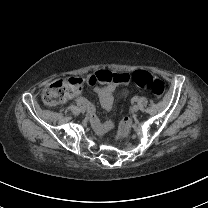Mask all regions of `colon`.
I'll use <instances>...</instances> for the list:
<instances>
[{
	"label": "colon",
	"mask_w": 208,
	"mask_h": 208,
	"mask_svg": "<svg viewBox=\"0 0 208 208\" xmlns=\"http://www.w3.org/2000/svg\"><path fill=\"white\" fill-rule=\"evenodd\" d=\"M135 85L143 90H147L153 97H162L166 91L163 81L153 74L145 71H135L132 75ZM127 79L119 78L111 71L102 70L91 75L88 79L82 80L77 77L59 79L55 83L47 84L42 90V99L49 106H58L62 102L70 101L75 93L83 91L84 86H94L102 83L121 84ZM119 127L123 131H132L134 122L128 118H123L119 122Z\"/></svg>",
	"instance_id": "obj_1"
}]
</instances>
